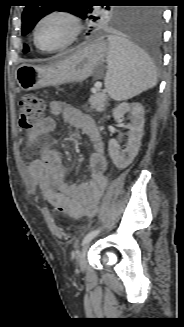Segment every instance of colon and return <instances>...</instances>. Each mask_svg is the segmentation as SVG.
I'll return each mask as SVG.
<instances>
[{
	"label": "colon",
	"instance_id": "5ec220e1",
	"mask_svg": "<svg viewBox=\"0 0 184 327\" xmlns=\"http://www.w3.org/2000/svg\"><path fill=\"white\" fill-rule=\"evenodd\" d=\"M44 102L39 97L27 94L19 102V125L21 129L30 131L34 129L41 121L44 115ZM56 212H63L61 206H53ZM97 213V205H91L85 209L86 217H94Z\"/></svg>",
	"mask_w": 184,
	"mask_h": 327
}]
</instances>
